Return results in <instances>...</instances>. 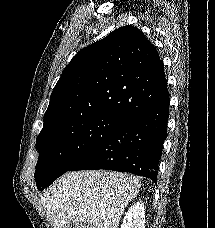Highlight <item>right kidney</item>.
<instances>
[{"instance_id": "obj_1", "label": "right kidney", "mask_w": 215, "mask_h": 228, "mask_svg": "<svg viewBox=\"0 0 215 228\" xmlns=\"http://www.w3.org/2000/svg\"><path fill=\"white\" fill-rule=\"evenodd\" d=\"M145 222V204L144 202H136L126 212L121 228H145Z\"/></svg>"}]
</instances>
